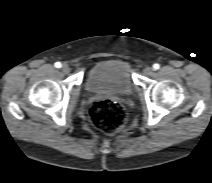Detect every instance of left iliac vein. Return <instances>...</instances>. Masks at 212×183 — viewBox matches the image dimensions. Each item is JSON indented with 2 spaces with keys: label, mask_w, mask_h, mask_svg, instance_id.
Returning a JSON list of instances; mask_svg holds the SVG:
<instances>
[{
  "label": "left iliac vein",
  "mask_w": 212,
  "mask_h": 183,
  "mask_svg": "<svg viewBox=\"0 0 212 183\" xmlns=\"http://www.w3.org/2000/svg\"><path fill=\"white\" fill-rule=\"evenodd\" d=\"M152 72H153V69L151 67H145L144 70H143V73L147 76L151 75Z\"/></svg>",
  "instance_id": "1"
}]
</instances>
